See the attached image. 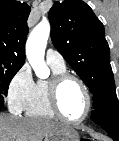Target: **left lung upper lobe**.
Segmentation results:
<instances>
[{"label": "left lung upper lobe", "instance_id": "5c2ea615", "mask_svg": "<svg viewBox=\"0 0 119 141\" xmlns=\"http://www.w3.org/2000/svg\"><path fill=\"white\" fill-rule=\"evenodd\" d=\"M51 39L93 95L98 108L115 98L110 50L104 26L82 0L56 2L49 11Z\"/></svg>", "mask_w": 119, "mask_h": 141}]
</instances>
